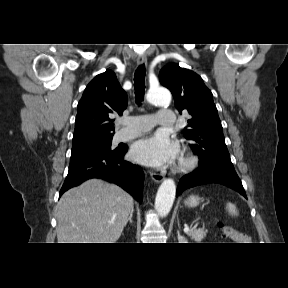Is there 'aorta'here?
I'll use <instances>...</instances> for the list:
<instances>
[{
	"instance_id": "762f6f07",
	"label": "aorta",
	"mask_w": 288,
	"mask_h": 288,
	"mask_svg": "<svg viewBox=\"0 0 288 288\" xmlns=\"http://www.w3.org/2000/svg\"><path fill=\"white\" fill-rule=\"evenodd\" d=\"M147 100L151 104L167 106L171 102V94L164 88L150 89ZM176 194V185L172 179H165L156 194L155 209L161 217H166L173 205Z\"/></svg>"
}]
</instances>
